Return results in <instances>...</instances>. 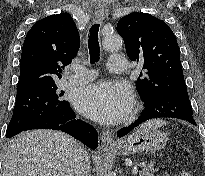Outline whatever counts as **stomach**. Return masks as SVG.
<instances>
[{
  "label": "stomach",
  "mask_w": 205,
  "mask_h": 176,
  "mask_svg": "<svg viewBox=\"0 0 205 176\" xmlns=\"http://www.w3.org/2000/svg\"><path fill=\"white\" fill-rule=\"evenodd\" d=\"M167 141L168 136L165 132L155 126L144 124L113 145L111 150L122 155L148 153L163 149Z\"/></svg>",
  "instance_id": "stomach-1"
}]
</instances>
